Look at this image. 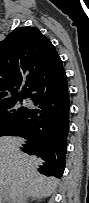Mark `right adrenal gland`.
Returning <instances> with one entry per match:
<instances>
[{
  "label": "right adrenal gland",
  "instance_id": "1",
  "mask_svg": "<svg viewBox=\"0 0 89 203\" xmlns=\"http://www.w3.org/2000/svg\"><path fill=\"white\" fill-rule=\"evenodd\" d=\"M34 200H37L36 198H33V197H28L26 200H25V203H28L29 201H34Z\"/></svg>",
  "mask_w": 89,
  "mask_h": 203
}]
</instances>
